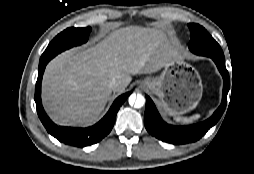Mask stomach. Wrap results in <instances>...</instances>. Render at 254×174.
<instances>
[{
    "mask_svg": "<svg viewBox=\"0 0 254 174\" xmlns=\"http://www.w3.org/2000/svg\"><path fill=\"white\" fill-rule=\"evenodd\" d=\"M162 67L158 77L142 81L144 87L159 97L161 108L169 115H182L193 110L203 93L197 70L178 55L169 57Z\"/></svg>",
    "mask_w": 254,
    "mask_h": 174,
    "instance_id": "1",
    "label": "stomach"
}]
</instances>
